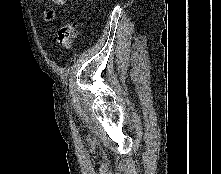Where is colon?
Returning <instances> with one entry per match:
<instances>
[{
	"instance_id": "5ec220e1",
	"label": "colon",
	"mask_w": 221,
	"mask_h": 174,
	"mask_svg": "<svg viewBox=\"0 0 221 174\" xmlns=\"http://www.w3.org/2000/svg\"><path fill=\"white\" fill-rule=\"evenodd\" d=\"M77 32V22L72 19L66 20L55 33L54 40L63 50H66L70 48Z\"/></svg>"
}]
</instances>
